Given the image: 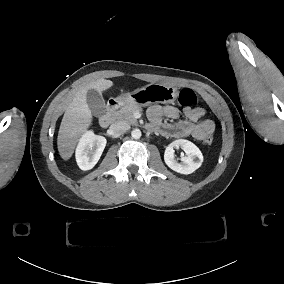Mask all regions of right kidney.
<instances>
[{
    "mask_svg": "<svg viewBox=\"0 0 284 284\" xmlns=\"http://www.w3.org/2000/svg\"><path fill=\"white\" fill-rule=\"evenodd\" d=\"M105 146L104 137L86 133L77 148L76 159L79 167L82 170H91L99 161Z\"/></svg>",
    "mask_w": 284,
    "mask_h": 284,
    "instance_id": "1",
    "label": "right kidney"
}]
</instances>
